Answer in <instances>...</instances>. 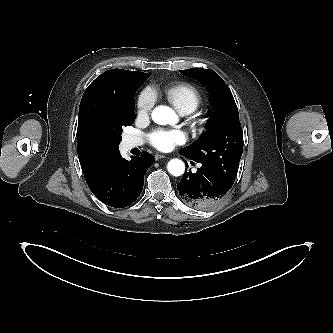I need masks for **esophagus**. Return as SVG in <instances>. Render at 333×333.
<instances>
[{"label": "esophagus", "instance_id": "esophagus-1", "mask_svg": "<svg viewBox=\"0 0 333 333\" xmlns=\"http://www.w3.org/2000/svg\"><path fill=\"white\" fill-rule=\"evenodd\" d=\"M154 158H155L156 161H158V160H160V159L166 158V156L163 155V154H156V155L154 156Z\"/></svg>", "mask_w": 333, "mask_h": 333}]
</instances>
